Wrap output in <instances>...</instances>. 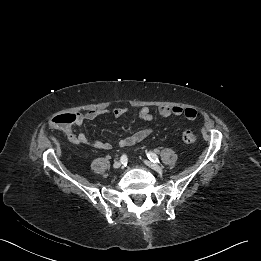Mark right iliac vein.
Listing matches in <instances>:
<instances>
[{
	"mask_svg": "<svg viewBox=\"0 0 261 261\" xmlns=\"http://www.w3.org/2000/svg\"><path fill=\"white\" fill-rule=\"evenodd\" d=\"M122 166V164H121V162H119V161H116V162H114V164H113V167L115 168V169H118V168H120Z\"/></svg>",
	"mask_w": 261,
	"mask_h": 261,
	"instance_id": "obj_1",
	"label": "right iliac vein"
}]
</instances>
